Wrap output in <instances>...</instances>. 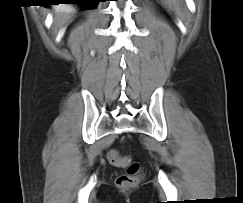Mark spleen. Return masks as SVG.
<instances>
[{
    "instance_id": "obj_1",
    "label": "spleen",
    "mask_w": 243,
    "mask_h": 203,
    "mask_svg": "<svg viewBox=\"0 0 243 203\" xmlns=\"http://www.w3.org/2000/svg\"><path fill=\"white\" fill-rule=\"evenodd\" d=\"M164 4L168 5L169 7H172V5L174 6L176 3V0H163Z\"/></svg>"
}]
</instances>
